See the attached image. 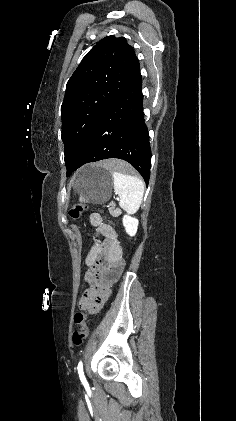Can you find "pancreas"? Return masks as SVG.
I'll return each instance as SVG.
<instances>
[{"mask_svg":"<svg viewBox=\"0 0 236 421\" xmlns=\"http://www.w3.org/2000/svg\"><path fill=\"white\" fill-rule=\"evenodd\" d=\"M109 213L112 217H119L120 215V208H115V202H111Z\"/></svg>","mask_w":236,"mask_h":421,"instance_id":"pancreas-1","label":"pancreas"}]
</instances>
